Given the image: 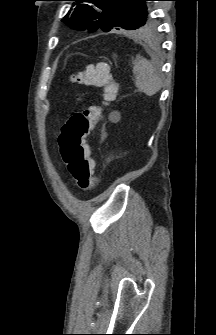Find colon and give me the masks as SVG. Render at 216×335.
Returning <instances> with one entry per match:
<instances>
[{
	"instance_id": "colon-1",
	"label": "colon",
	"mask_w": 216,
	"mask_h": 335,
	"mask_svg": "<svg viewBox=\"0 0 216 335\" xmlns=\"http://www.w3.org/2000/svg\"><path fill=\"white\" fill-rule=\"evenodd\" d=\"M77 80L103 90V105L77 111L65 122L58 137L60 155L69 174L82 190H91L99 182L94 173L95 162L86 139L103 114V106L115 100L120 82L115 80L106 63L91 64L80 71Z\"/></svg>"
}]
</instances>
